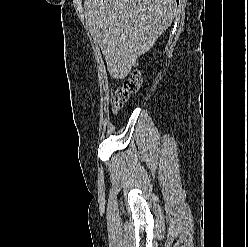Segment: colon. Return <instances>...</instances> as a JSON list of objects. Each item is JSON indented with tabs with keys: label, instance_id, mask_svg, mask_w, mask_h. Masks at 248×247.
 Returning <instances> with one entry per match:
<instances>
[{
	"label": "colon",
	"instance_id": "obj_1",
	"mask_svg": "<svg viewBox=\"0 0 248 247\" xmlns=\"http://www.w3.org/2000/svg\"><path fill=\"white\" fill-rule=\"evenodd\" d=\"M140 83V73L138 70H134L129 78L124 81L122 86L116 90L112 98V105L115 111L123 107L130 96L138 91Z\"/></svg>",
	"mask_w": 248,
	"mask_h": 247
}]
</instances>
